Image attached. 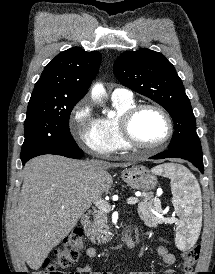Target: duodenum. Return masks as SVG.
I'll return each mask as SVG.
<instances>
[{
    "label": "duodenum",
    "instance_id": "410a0bca",
    "mask_svg": "<svg viewBox=\"0 0 215 274\" xmlns=\"http://www.w3.org/2000/svg\"><path fill=\"white\" fill-rule=\"evenodd\" d=\"M89 220H90V214L84 213L80 218V223L83 227H86L89 223ZM133 243H134L133 237L131 236V234H127L125 236L122 247L125 250H129L132 247Z\"/></svg>",
    "mask_w": 215,
    "mask_h": 274
}]
</instances>
